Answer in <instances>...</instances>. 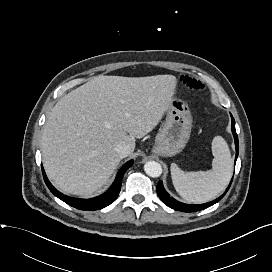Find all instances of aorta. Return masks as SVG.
<instances>
[{
	"label": "aorta",
	"mask_w": 272,
	"mask_h": 272,
	"mask_svg": "<svg viewBox=\"0 0 272 272\" xmlns=\"http://www.w3.org/2000/svg\"><path fill=\"white\" fill-rule=\"evenodd\" d=\"M145 173L153 178H157L162 174V167L156 161H148L144 165Z\"/></svg>",
	"instance_id": "1"
}]
</instances>
